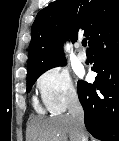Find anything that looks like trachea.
Listing matches in <instances>:
<instances>
[{
  "instance_id": "1",
  "label": "trachea",
  "mask_w": 119,
  "mask_h": 141,
  "mask_svg": "<svg viewBox=\"0 0 119 141\" xmlns=\"http://www.w3.org/2000/svg\"><path fill=\"white\" fill-rule=\"evenodd\" d=\"M82 45H83L84 47L87 46V40H86V39H84V40L82 41Z\"/></svg>"
}]
</instances>
